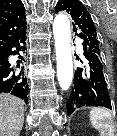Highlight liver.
Masks as SVG:
<instances>
[{
  "instance_id": "liver-1",
  "label": "liver",
  "mask_w": 117,
  "mask_h": 136,
  "mask_svg": "<svg viewBox=\"0 0 117 136\" xmlns=\"http://www.w3.org/2000/svg\"><path fill=\"white\" fill-rule=\"evenodd\" d=\"M24 123V102L10 94H0V136H19Z\"/></svg>"
}]
</instances>
